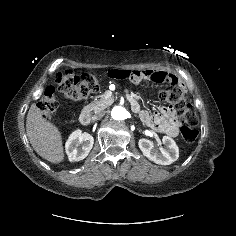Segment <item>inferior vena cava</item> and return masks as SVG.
<instances>
[{
  "label": "inferior vena cava",
  "mask_w": 236,
  "mask_h": 236,
  "mask_svg": "<svg viewBox=\"0 0 236 236\" xmlns=\"http://www.w3.org/2000/svg\"><path fill=\"white\" fill-rule=\"evenodd\" d=\"M103 116H104V112H100V113H97L96 115H94V116L91 118V120H92L93 122H95V121L101 119Z\"/></svg>",
  "instance_id": "inferior-vena-cava-1"
}]
</instances>
